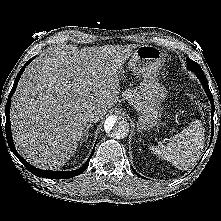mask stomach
Instances as JSON below:
<instances>
[{"label":"stomach","mask_w":221,"mask_h":221,"mask_svg":"<svg viewBox=\"0 0 221 221\" xmlns=\"http://www.w3.org/2000/svg\"><path fill=\"white\" fill-rule=\"evenodd\" d=\"M165 62L164 53L151 45L139 46L133 53L128 68L135 75L142 76L143 81L138 86L142 97L138 130L156 126L161 121L162 102L167 97V89L158 82V75ZM123 71H121V76Z\"/></svg>","instance_id":"obj_1"}]
</instances>
